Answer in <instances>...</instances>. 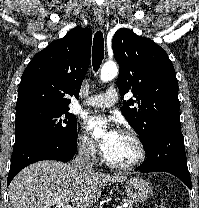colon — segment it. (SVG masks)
<instances>
[{
    "instance_id": "colon-1",
    "label": "colon",
    "mask_w": 199,
    "mask_h": 208,
    "mask_svg": "<svg viewBox=\"0 0 199 208\" xmlns=\"http://www.w3.org/2000/svg\"><path fill=\"white\" fill-rule=\"evenodd\" d=\"M155 208H168V207H166L165 205L159 204Z\"/></svg>"
}]
</instances>
